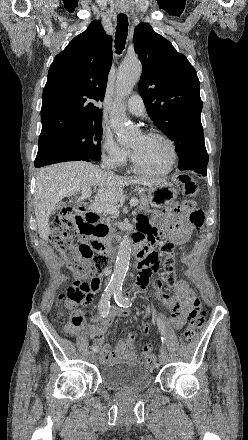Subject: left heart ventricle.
Masks as SVG:
<instances>
[{
  "label": "left heart ventricle",
  "instance_id": "left-heart-ventricle-1",
  "mask_svg": "<svg viewBox=\"0 0 248 440\" xmlns=\"http://www.w3.org/2000/svg\"><path fill=\"white\" fill-rule=\"evenodd\" d=\"M131 148L136 163L145 170L160 171L168 166L170 148L160 138L140 135L131 143Z\"/></svg>",
  "mask_w": 248,
  "mask_h": 440
}]
</instances>
